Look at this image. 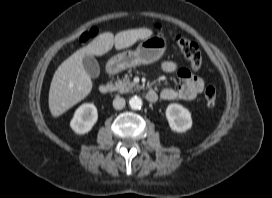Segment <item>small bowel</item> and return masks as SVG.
<instances>
[{"instance_id": "obj_1", "label": "small bowel", "mask_w": 272, "mask_h": 198, "mask_svg": "<svg viewBox=\"0 0 272 198\" xmlns=\"http://www.w3.org/2000/svg\"><path fill=\"white\" fill-rule=\"evenodd\" d=\"M165 72L177 73L181 84L177 88H166L160 92L162 100H183L190 101L195 99L204 89L205 81L198 76L190 73L188 69L180 63L172 60L164 61L161 65Z\"/></svg>"}]
</instances>
